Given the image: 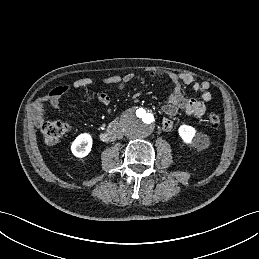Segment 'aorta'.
<instances>
[{
	"label": "aorta",
	"instance_id": "aorta-1",
	"mask_svg": "<svg viewBox=\"0 0 259 259\" xmlns=\"http://www.w3.org/2000/svg\"><path fill=\"white\" fill-rule=\"evenodd\" d=\"M154 126V115L147 108L133 109L121 119V128L130 139L148 137L152 133Z\"/></svg>",
	"mask_w": 259,
	"mask_h": 259
}]
</instances>
